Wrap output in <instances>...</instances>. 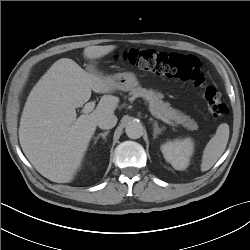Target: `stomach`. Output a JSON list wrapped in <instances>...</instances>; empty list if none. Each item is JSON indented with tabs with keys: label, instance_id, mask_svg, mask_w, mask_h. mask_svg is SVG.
<instances>
[{
	"label": "stomach",
	"instance_id": "stomach-1",
	"mask_svg": "<svg viewBox=\"0 0 250 250\" xmlns=\"http://www.w3.org/2000/svg\"><path fill=\"white\" fill-rule=\"evenodd\" d=\"M114 82V87L120 91H132L139 86V81L132 72L118 73L107 76Z\"/></svg>",
	"mask_w": 250,
	"mask_h": 250
}]
</instances>
